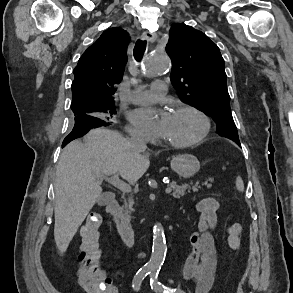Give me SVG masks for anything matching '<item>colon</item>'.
I'll return each instance as SVG.
<instances>
[{
	"mask_svg": "<svg viewBox=\"0 0 293 293\" xmlns=\"http://www.w3.org/2000/svg\"><path fill=\"white\" fill-rule=\"evenodd\" d=\"M101 217L96 212H91L80 230L82 239L78 256V280L86 293H115V288L103 270L100 257L99 226ZM240 226L233 224L229 228L227 244L230 249L239 247Z\"/></svg>",
	"mask_w": 293,
	"mask_h": 293,
	"instance_id": "5ec220e1",
	"label": "colon"
}]
</instances>
